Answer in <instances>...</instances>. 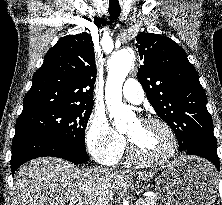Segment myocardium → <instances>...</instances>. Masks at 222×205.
<instances>
[{
  "label": "myocardium",
  "instance_id": "1",
  "mask_svg": "<svg viewBox=\"0 0 222 205\" xmlns=\"http://www.w3.org/2000/svg\"><path fill=\"white\" fill-rule=\"evenodd\" d=\"M140 122L161 126L170 138V147L169 150L159 158H144L137 153L135 146L133 145L131 139L128 137V156L130 160L143 166H161L170 162L175 157L178 149V140L173 128L163 119L152 116L144 117L140 120Z\"/></svg>",
  "mask_w": 222,
  "mask_h": 205
}]
</instances>
